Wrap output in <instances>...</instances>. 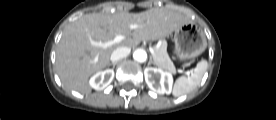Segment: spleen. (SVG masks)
I'll list each match as a JSON object with an SVG mask.
<instances>
[{"label":"spleen","mask_w":276,"mask_h":120,"mask_svg":"<svg viewBox=\"0 0 276 120\" xmlns=\"http://www.w3.org/2000/svg\"><path fill=\"white\" fill-rule=\"evenodd\" d=\"M208 63L206 60H202L197 63L194 72L188 76L179 77L173 87V95L179 97L191 92L195 89L201 82V79L207 69Z\"/></svg>","instance_id":"spleen-1"}]
</instances>
